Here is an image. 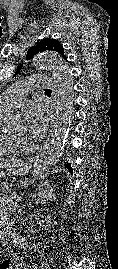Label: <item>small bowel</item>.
<instances>
[{
	"mask_svg": "<svg viewBox=\"0 0 118 269\" xmlns=\"http://www.w3.org/2000/svg\"><path fill=\"white\" fill-rule=\"evenodd\" d=\"M9 213V206L6 204L0 205V248L13 246L18 249H23L26 246L25 238L12 230ZM5 264L6 262L3 263V266H5Z\"/></svg>",
	"mask_w": 118,
	"mask_h": 269,
	"instance_id": "obj_1",
	"label": "small bowel"
}]
</instances>
